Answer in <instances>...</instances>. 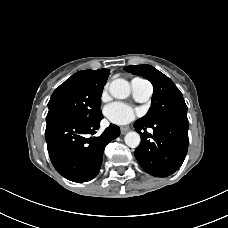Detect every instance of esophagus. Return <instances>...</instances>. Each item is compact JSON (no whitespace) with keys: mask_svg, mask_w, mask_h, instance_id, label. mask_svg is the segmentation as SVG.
<instances>
[{"mask_svg":"<svg viewBox=\"0 0 228 228\" xmlns=\"http://www.w3.org/2000/svg\"><path fill=\"white\" fill-rule=\"evenodd\" d=\"M120 130H121V134H125V133H127L130 129H129L128 127H121Z\"/></svg>","mask_w":228,"mask_h":228,"instance_id":"obj_1","label":"esophagus"}]
</instances>
